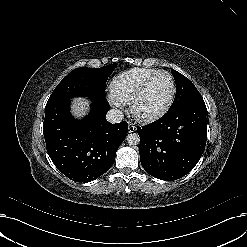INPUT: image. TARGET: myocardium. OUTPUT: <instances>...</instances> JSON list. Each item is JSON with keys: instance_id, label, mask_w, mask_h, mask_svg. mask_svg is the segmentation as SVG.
<instances>
[{"instance_id": "1", "label": "myocardium", "mask_w": 247, "mask_h": 247, "mask_svg": "<svg viewBox=\"0 0 247 247\" xmlns=\"http://www.w3.org/2000/svg\"><path fill=\"white\" fill-rule=\"evenodd\" d=\"M159 75H166L170 79V81H171L170 95H169L167 101L164 103V105L162 107H160L159 109H157V110H155L153 112H150V113L141 114L137 110V103H138L139 99L141 98V96L143 95V93L146 90V88L148 87V85ZM175 91H176L175 80H174L173 76L171 75V73H169L168 71H165V70H159L158 72H156L155 74L150 76L141 85V87L138 89V91L134 94V96L129 101V112H130L131 116L135 120H137L139 122H145V123L157 119L158 117L163 115L169 109V107L171 106V104L173 102V99H174V96H175Z\"/></svg>"}]
</instances>
